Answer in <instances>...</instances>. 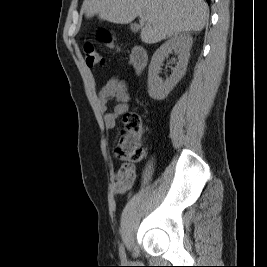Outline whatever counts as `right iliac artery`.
Instances as JSON below:
<instances>
[{"mask_svg":"<svg viewBox=\"0 0 267 267\" xmlns=\"http://www.w3.org/2000/svg\"><path fill=\"white\" fill-rule=\"evenodd\" d=\"M119 255H120L122 262H125L126 261V254H125V249H124L122 244L119 247Z\"/></svg>","mask_w":267,"mask_h":267,"instance_id":"right-iliac-artery-1","label":"right iliac artery"}]
</instances>
